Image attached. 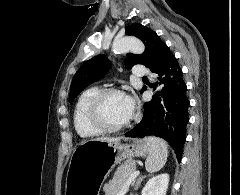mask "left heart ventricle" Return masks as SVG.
Returning a JSON list of instances; mask_svg holds the SVG:
<instances>
[{
  "label": "left heart ventricle",
  "mask_w": 240,
  "mask_h": 195,
  "mask_svg": "<svg viewBox=\"0 0 240 195\" xmlns=\"http://www.w3.org/2000/svg\"><path fill=\"white\" fill-rule=\"evenodd\" d=\"M105 116L112 125H122L131 119L124 96H113L106 101Z\"/></svg>",
  "instance_id": "b2bd125f"
}]
</instances>
